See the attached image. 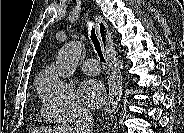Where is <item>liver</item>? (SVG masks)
<instances>
[{"mask_svg": "<svg viewBox=\"0 0 184 133\" xmlns=\"http://www.w3.org/2000/svg\"><path fill=\"white\" fill-rule=\"evenodd\" d=\"M35 133H74L73 129L70 127H54V128H49V127H43L40 129H35Z\"/></svg>", "mask_w": 184, "mask_h": 133, "instance_id": "6515ba94", "label": "liver"}]
</instances>
